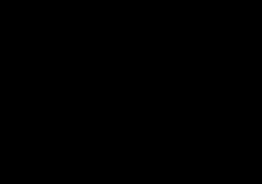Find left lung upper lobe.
Returning a JSON list of instances; mask_svg holds the SVG:
<instances>
[{
	"mask_svg": "<svg viewBox=\"0 0 262 184\" xmlns=\"http://www.w3.org/2000/svg\"><path fill=\"white\" fill-rule=\"evenodd\" d=\"M142 35L148 37L149 39L164 45L173 54L174 57L179 56L180 52L184 48H193V54L198 60L204 63L205 57L204 53L196 47L192 37L184 32L169 30L165 28L158 27H142L139 29ZM197 80L200 82H207V69L204 65L199 67L197 70L190 72L184 77H177L174 73L170 77L169 84L177 90H184L192 80ZM182 94V101L178 109L177 124L182 132L187 134L199 133L203 127V116L205 114L204 110L201 109L200 103L195 100H187Z\"/></svg>",
	"mask_w": 262,
	"mask_h": 184,
	"instance_id": "5c2ea615",
	"label": "left lung upper lobe"
}]
</instances>
